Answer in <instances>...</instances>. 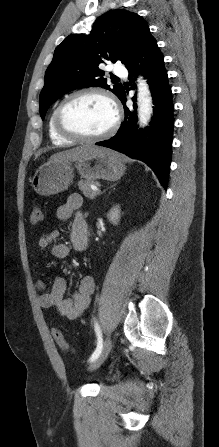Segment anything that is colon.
<instances>
[{
    "label": "colon",
    "instance_id": "5ec220e1",
    "mask_svg": "<svg viewBox=\"0 0 219 447\" xmlns=\"http://www.w3.org/2000/svg\"><path fill=\"white\" fill-rule=\"evenodd\" d=\"M42 210L41 207L37 204L33 205L31 207V213H30V222L33 225H37L42 221ZM53 337L57 345L64 351H69V345L66 342L63 333L58 330H53Z\"/></svg>",
    "mask_w": 219,
    "mask_h": 447
}]
</instances>
